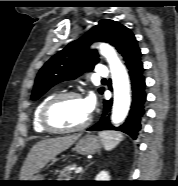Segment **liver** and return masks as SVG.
Segmentation results:
<instances>
[{"label":"liver","mask_w":178,"mask_h":186,"mask_svg":"<svg viewBox=\"0 0 178 186\" xmlns=\"http://www.w3.org/2000/svg\"><path fill=\"white\" fill-rule=\"evenodd\" d=\"M80 137V134L44 139L30 150L20 171L21 181L29 180L44 168L47 163L68 149Z\"/></svg>","instance_id":"6515ba94"}]
</instances>
